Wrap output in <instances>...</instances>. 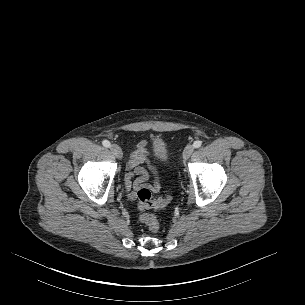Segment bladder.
I'll list each match as a JSON object with an SVG mask.
<instances>
[{"label":"bladder","mask_w":305,"mask_h":305,"mask_svg":"<svg viewBox=\"0 0 305 305\" xmlns=\"http://www.w3.org/2000/svg\"><path fill=\"white\" fill-rule=\"evenodd\" d=\"M151 157L158 164H164L170 161V150L162 138H154L152 140Z\"/></svg>","instance_id":"1"}]
</instances>
